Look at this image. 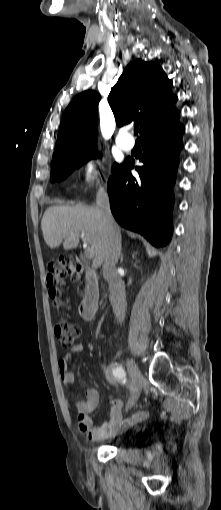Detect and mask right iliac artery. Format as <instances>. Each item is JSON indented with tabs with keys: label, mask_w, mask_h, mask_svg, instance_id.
<instances>
[{
	"label": "right iliac artery",
	"mask_w": 221,
	"mask_h": 510,
	"mask_svg": "<svg viewBox=\"0 0 221 510\" xmlns=\"http://www.w3.org/2000/svg\"><path fill=\"white\" fill-rule=\"evenodd\" d=\"M112 375L120 381L125 382L126 380V373L121 365L115 364L112 369Z\"/></svg>",
	"instance_id": "right-iliac-artery-1"
}]
</instances>
